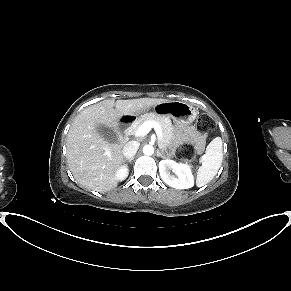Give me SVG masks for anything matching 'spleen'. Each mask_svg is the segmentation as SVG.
<instances>
[{
    "label": "spleen",
    "mask_w": 291,
    "mask_h": 291,
    "mask_svg": "<svg viewBox=\"0 0 291 291\" xmlns=\"http://www.w3.org/2000/svg\"><path fill=\"white\" fill-rule=\"evenodd\" d=\"M223 158L222 139L214 138L201 158L202 165L197 171L196 185L202 187L210 182L221 167Z\"/></svg>",
    "instance_id": "1"
}]
</instances>
